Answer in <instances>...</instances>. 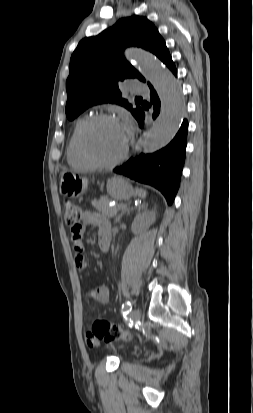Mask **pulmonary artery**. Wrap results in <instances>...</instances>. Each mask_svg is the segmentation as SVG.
I'll return each instance as SVG.
<instances>
[{
	"label": "pulmonary artery",
	"instance_id": "1",
	"mask_svg": "<svg viewBox=\"0 0 253 413\" xmlns=\"http://www.w3.org/2000/svg\"><path fill=\"white\" fill-rule=\"evenodd\" d=\"M132 91L136 94L148 95L149 89L147 86L141 83H133Z\"/></svg>",
	"mask_w": 253,
	"mask_h": 413
}]
</instances>
